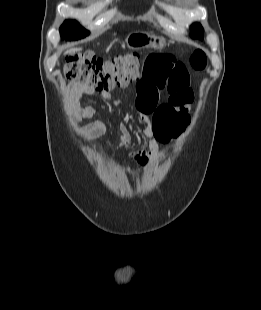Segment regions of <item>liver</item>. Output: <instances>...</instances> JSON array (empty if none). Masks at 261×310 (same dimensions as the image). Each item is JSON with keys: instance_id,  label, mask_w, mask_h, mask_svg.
Instances as JSON below:
<instances>
[{"instance_id": "liver-1", "label": "liver", "mask_w": 261, "mask_h": 310, "mask_svg": "<svg viewBox=\"0 0 261 310\" xmlns=\"http://www.w3.org/2000/svg\"><path fill=\"white\" fill-rule=\"evenodd\" d=\"M80 50H81L80 48H71V49L67 50L66 53L73 54V53L78 52Z\"/></svg>"}]
</instances>
